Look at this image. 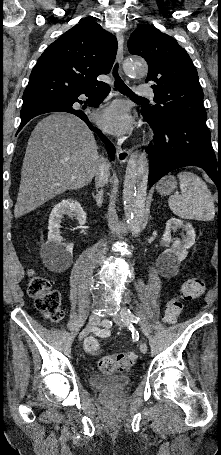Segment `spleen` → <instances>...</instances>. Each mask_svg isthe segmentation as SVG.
<instances>
[{
	"label": "spleen",
	"instance_id": "obj_1",
	"mask_svg": "<svg viewBox=\"0 0 221 455\" xmlns=\"http://www.w3.org/2000/svg\"><path fill=\"white\" fill-rule=\"evenodd\" d=\"M181 195H172L168 204L172 212L183 219L210 221L215 217V206L206 183L192 172H180Z\"/></svg>",
	"mask_w": 221,
	"mask_h": 455
}]
</instances>
